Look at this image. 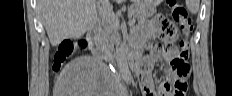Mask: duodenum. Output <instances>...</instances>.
Masks as SVG:
<instances>
[{"label": "duodenum", "instance_id": "1", "mask_svg": "<svg viewBox=\"0 0 232 96\" xmlns=\"http://www.w3.org/2000/svg\"><path fill=\"white\" fill-rule=\"evenodd\" d=\"M100 34V26L95 24L87 33V40L89 43V49L92 55L100 61H108L112 65L121 66L122 64L127 66L131 71H135L138 68V60L135 50L130 48L120 47L118 49V55L115 58L107 57V54L103 48L99 45L98 38Z\"/></svg>", "mask_w": 232, "mask_h": 96}]
</instances>
